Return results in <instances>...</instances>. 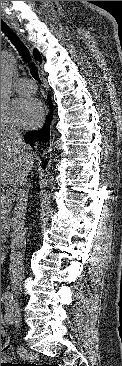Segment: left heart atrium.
Listing matches in <instances>:
<instances>
[{
  "label": "left heart atrium",
  "mask_w": 122,
  "mask_h": 366,
  "mask_svg": "<svg viewBox=\"0 0 122 366\" xmlns=\"http://www.w3.org/2000/svg\"><path fill=\"white\" fill-rule=\"evenodd\" d=\"M12 122L21 127L38 125L43 118L41 103L31 97H19L14 100L11 109Z\"/></svg>",
  "instance_id": "1"
}]
</instances>
